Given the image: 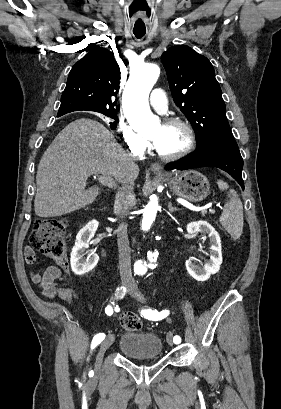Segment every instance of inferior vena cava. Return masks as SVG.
<instances>
[{
	"mask_svg": "<svg viewBox=\"0 0 281 409\" xmlns=\"http://www.w3.org/2000/svg\"><path fill=\"white\" fill-rule=\"evenodd\" d=\"M132 160H136V158H132ZM134 184V180L127 182V184H122L120 190L117 192L118 196H120L122 200H128L130 196H134ZM126 213H128V209L121 211L120 215H126ZM117 237L121 281H124V283H134L131 273V257L126 223L119 225Z\"/></svg>",
	"mask_w": 281,
	"mask_h": 409,
	"instance_id": "602c4592",
	"label": "inferior vena cava"
}]
</instances>
